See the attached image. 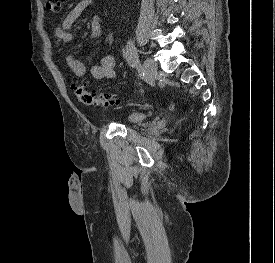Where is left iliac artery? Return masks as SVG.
<instances>
[{"instance_id":"left-iliac-artery-1","label":"left iliac artery","mask_w":275,"mask_h":263,"mask_svg":"<svg viewBox=\"0 0 275 263\" xmlns=\"http://www.w3.org/2000/svg\"><path fill=\"white\" fill-rule=\"evenodd\" d=\"M126 58L131 67L137 66L139 63L138 51L135 47L134 41L129 40L126 45Z\"/></svg>"}]
</instances>
